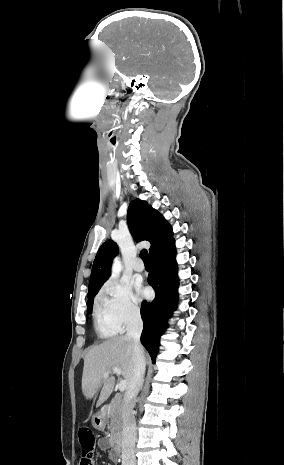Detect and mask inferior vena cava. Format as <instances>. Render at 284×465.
I'll use <instances>...</instances> for the list:
<instances>
[{
  "instance_id": "1",
  "label": "inferior vena cava",
  "mask_w": 284,
  "mask_h": 465,
  "mask_svg": "<svg viewBox=\"0 0 284 465\" xmlns=\"http://www.w3.org/2000/svg\"><path fill=\"white\" fill-rule=\"evenodd\" d=\"M143 323L140 315L131 313L127 323V337L133 341V371L131 383H129L122 403V465H136L135 437L136 423L134 419V407L136 397L142 389L145 373V359L143 347L140 343Z\"/></svg>"
}]
</instances>
